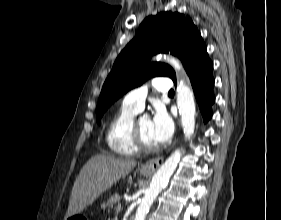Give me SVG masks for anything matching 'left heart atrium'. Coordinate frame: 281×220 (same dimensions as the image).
<instances>
[{
	"instance_id": "obj_1",
	"label": "left heart atrium",
	"mask_w": 281,
	"mask_h": 220,
	"mask_svg": "<svg viewBox=\"0 0 281 220\" xmlns=\"http://www.w3.org/2000/svg\"><path fill=\"white\" fill-rule=\"evenodd\" d=\"M174 131V124L167 112L159 108L156 110L151 120V132L154 140L158 144L167 142Z\"/></svg>"
}]
</instances>
